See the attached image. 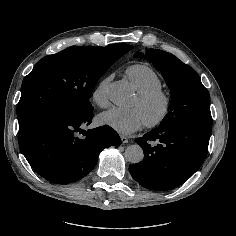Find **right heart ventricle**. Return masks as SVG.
<instances>
[{
	"label": "right heart ventricle",
	"instance_id": "obj_1",
	"mask_svg": "<svg viewBox=\"0 0 236 236\" xmlns=\"http://www.w3.org/2000/svg\"><path fill=\"white\" fill-rule=\"evenodd\" d=\"M125 73L138 93L155 91L163 85L159 74L147 64H132L126 68Z\"/></svg>",
	"mask_w": 236,
	"mask_h": 236
}]
</instances>
